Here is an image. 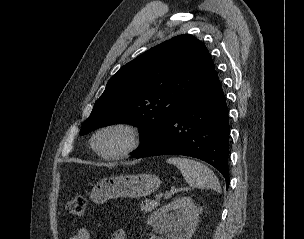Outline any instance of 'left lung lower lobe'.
Returning <instances> with one entry per match:
<instances>
[{
	"instance_id": "0a47b994",
	"label": "left lung lower lobe",
	"mask_w": 304,
	"mask_h": 239,
	"mask_svg": "<svg viewBox=\"0 0 304 239\" xmlns=\"http://www.w3.org/2000/svg\"><path fill=\"white\" fill-rule=\"evenodd\" d=\"M228 139L227 105L214 70L167 127L134 156L176 154L201 159L221 172L228 188Z\"/></svg>"
}]
</instances>
